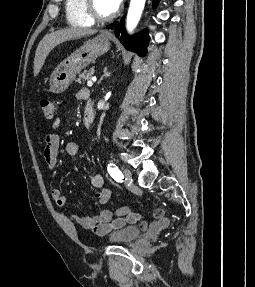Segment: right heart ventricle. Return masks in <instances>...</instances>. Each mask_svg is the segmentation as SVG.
Returning <instances> with one entry per match:
<instances>
[{
	"instance_id": "obj_1",
	"label": "right heart ventricle",
	"mask_w": 255,
	"mask_h": 287,
	"mask_svg": "<svg viewBox=\"0 0 255 287\" xmlns=\"http://www.w3.org/2000/svg\"><path fill=\"white\" fill-rule=\"evenodd\" d=\"M83 33H87V32H83ZM86 39H97V38H86Z\"/></svg>"
}]
</instances>
